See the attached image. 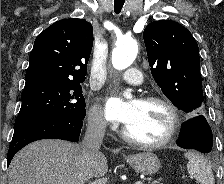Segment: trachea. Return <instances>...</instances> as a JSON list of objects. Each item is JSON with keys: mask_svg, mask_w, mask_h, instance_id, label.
<instances>
[{"mask_svg": "<svg viewBox=\"0 0 224 184\" xmlns=\"http://www.w3.org/2000/svg\"><path fill=\"white\" fill-rule=\"evenodd\" d=\"M124 3L125 0H114V11L116 14H119L121 12Z\"/></svg>", "mask_w": 224, "mask_h": 184, "instance_id": "trachea-1", "label": "trachea"}]
</instances>
